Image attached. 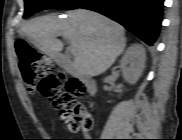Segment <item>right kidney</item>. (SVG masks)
Listing matches in <instances>:
<instances>
[{"label": "right kidney", "instance_id": "obj_1", "mask_svg": "<svg viewBox=\"0 0 182 140\" xmlns=\"http://www.w3.org/2000/svg\"><path fill=\"white\" fill-rule=\"evenodd\" d=\"M146 54L143 46L131 45L120 61L123 78L129 84H135L145 68Z\"/></svg>", "mask_w": 182, "mask_h": 140}]
</instances>
